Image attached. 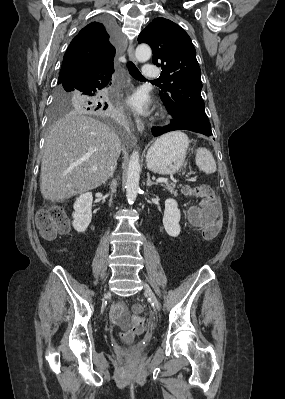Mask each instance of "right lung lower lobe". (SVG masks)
I'll return each instance as SVG.
<instances>
[{
	"label": "right lung lower lobe",
	"mask_w": 285,
	"mask_h": 399,
	"mask_svg": "<svg viewBox=\"0 0 285 399\" xmlns=\"http://www.w3.org/2000/svg\"><path fill=\"white\" fill-rule=\"evenodd\" d=\"M108 32L110 33L114 43L117 41V29L115 24L110 20H104ZM113 69L106 70H87L84 69L70 78L66 79L62 84L72 85L74 88L81 90L90 97H96L101 94V91L109 87L112 81ZM95 105H101L96 102ZM103 105V104H102ZM108 106V105H106ZM104 107V106H103Z\"/></svg>",
	"instance_id": "98d812e1"
}]
</instances>
